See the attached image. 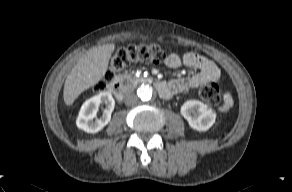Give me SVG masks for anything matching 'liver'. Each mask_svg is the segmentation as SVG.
Segmentation results:
<instances>
[{"instance_id": "obj_1", "label": "liver", "mask_w": 292, "mask_h": 192, "mask_svg": "<svg viewBox=\"0 0 292 192\" xmlns=\"http://www.w3.org/2000/svg\"><path fill=\"white\" fill-rule=\"evenodd\" d=\"M114 49V44L98 46L87 51L78 60L65 80L63 98L66 105H72L83 91L102 79Z\"/></svg>"}]
</instances>
